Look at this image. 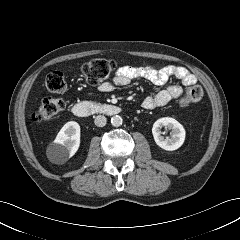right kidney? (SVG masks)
Returning <instances> with one entry per match:
<instances>
[{
	"label": "right kidney",
	"mask_w": 240,
	"mask_h": 240,
	"mask_svg": "<svg viewBox=\"0 0 240 240\" xmlns=\"http://www.w3.org/2000/svg\"><path fill=\"white\" fill-rule=\"evenodd\" d=\"M80 145V125L75 121L67 122L48 147L52 162L65 163L78 150Z\"/></svg>",
	"instance_id": "right-kidney-1"
}]
</instances>
